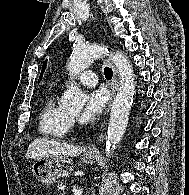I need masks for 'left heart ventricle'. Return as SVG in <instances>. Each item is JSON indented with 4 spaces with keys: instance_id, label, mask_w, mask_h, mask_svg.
I'll return each instance as SVG.
<instances>
[{
    "instance_id": "1",
    "label": "left heart ventricle",
    "mask_w": 189,
    "mask_h": 195,
    "mask_svg": "<svg viewBox=\"0 0 189 195\" xmlns=\"http://www.w3.org/2000/svg\"><path fill=\"white\" fill-rule=\"evenodd\" d=\"M79 114V111H74V112H72V115H74V116H76V115H78Z\"/></svg>"
}]
</instances>
